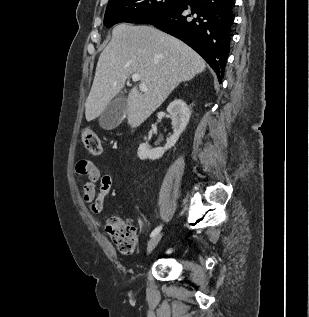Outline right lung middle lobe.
<instances>
[{
    "mask_svg": "<svg viewBox=\"0 0 309 317\" xmlns=\"http://www.w3.org/2000/svg\"><path fill=\"white\" fill-rule=\"evenodd\" d=\"M187 0H109L104 17L107 28L120 22L135 23L163 10L174 9Z\"/></svg>",
    "mask_w": 309,
    "mask_h": 317,
    "instance_id": "right-lung-middle-lobe-1",
    "label": "right lung middle lobe"
}]
</instances>
